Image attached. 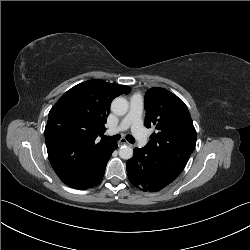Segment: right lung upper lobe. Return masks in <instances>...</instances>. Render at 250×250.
Segmentation results:
<instances>
[{"mask_svg":"<svg viewBox=\"0 0 250 250\" xmlns=\"http://www.w3.org/2000/svg\"><path fill=\"white\" fill-rule=\"evenodd\" d=\"M131 88L95 79L68 90L51 108L45 127L50 163L59 178L75 189L96 179L112 142L96 138L105 132L112 100Z\"/></svg>","mask_w":250,"mask_h":250,"instance_id":"right-lung-upper-lobe-1","label":"right lung upper lobe"}]
</instances>
